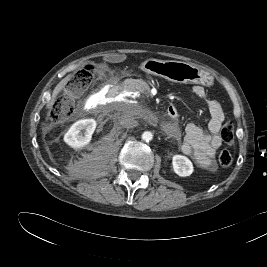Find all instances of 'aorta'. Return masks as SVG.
Returning a JSON list of instances; mask_svg holds the SVG:
<instances>
[{
    "instance_id": "762f6f07",
    "label": "aorta",
    "mask_w": 267,
    "mask_h": 267,
    "mask_svg": "<svg viewBox=\"0 0 267 267\" xmlns=\"http://www.w3.org/2000/svg\"><path fill=\"white\" fill-rule=\"evenodd\" d=\"M142 140L149 142L153 139V134L150 131H145L142 134Z\"/></svg>"
}]
</instances>
